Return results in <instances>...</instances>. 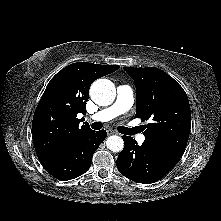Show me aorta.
<instances>
[{
    "label": "aorta",
    "mask_w": 221,
    "mask_h": 221,
    "mask_svg": "<svg viewBox=\"0 0 221 221\" xmlns=\"http://www.w3.org/2000/svg\"><path fill=\"white\" fill-rule=\"evenodd\" d=\"M92 100L100 106H108L113 103L116 97V89L114 84L108 79L96 80L90 88ZM106 146L112 152H120L123 150V139L117 135L107 138Z\"/></svg>",
    "instance_id": "obj_1"
}]
</instances>
